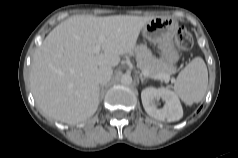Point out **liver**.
Listing matches in <instances>:
<instances>
[{"mask_svg":"<svg viewBox=\"0 0 238 158\" xmlns=\"http://www.w3.org/2000/svg\"><path fill=\"white\" fill-rule=\"evenodd\" d=\"M154 17L72 16L57 25L32 59L30 82L39 109L63 123L84 121L99 105V66L115 67L133 52L140 31ZM99 36L102 53L95 54Z\"/></svg>","mask_w":238,"mask_h":158,"instance_id":"1","label":"liver"}]
</instances>
